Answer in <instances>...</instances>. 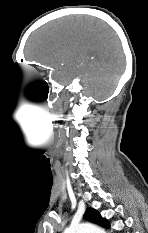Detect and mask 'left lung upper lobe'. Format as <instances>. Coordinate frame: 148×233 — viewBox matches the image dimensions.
I'll return each mask as SVG.
<instances>
[{"mask_svg": "<svg viewBox=\"0 0 148 233\" xmlns=\"http://www.w3.org/2000/svg\"><path fill=\"white\" fill-rule=\"evenodd\" d=\"M84 218L87 221L98 224L99 226L110 228V223L108 220L102 218L100 213L92 208H87Z\"/></svg>", "mask_w": 148, "mask_h": 233, "instance_id": "obj_1", "label": "left lung upper lobe"}]
</instances>
